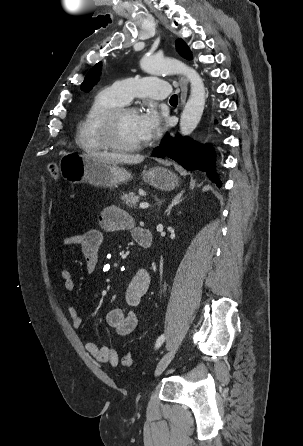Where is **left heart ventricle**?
Wrapping results in <instances>:
<instances>
[{"instance_id":"obj_1","label":"left heart ventricle","mask_w":303,"mask_h":446,"mask_svg":"<svg viewBox=\"0 0 303 446\" xmlns=\"http://www.w3.org/2000/svg\"><path fill=\"white\" fill-rule=\"evenodd\" d=\"M136 118L137 113L134 111H129L122 115L117 126L116 138L118 142L125 145L143 142L138 133Z\"/></svg>"}]
</instances>
